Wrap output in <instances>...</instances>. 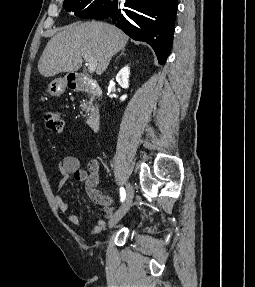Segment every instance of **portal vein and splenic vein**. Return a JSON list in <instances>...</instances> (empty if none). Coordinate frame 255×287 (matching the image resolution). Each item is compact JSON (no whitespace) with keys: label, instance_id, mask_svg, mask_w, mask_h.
Listing matches in <instances>:
<instances>
[{"label":"portal vein and splenic vein","instance_id":"1","mask_svg":"<svg viewBox=\"0 0 255 287\" xmlns=\"http://www.w3.org/2000/svg\"><path fill=\"white\" fill-rule=\"evenodd\" d=\"M83 58H84V60H86V62L88 64V70H89L90 74H92V72H95V70L97 68L96 58H93V56H89V54H84Z\"/></svg>","mask_w":255,"mask_h":287}]
</instances>
